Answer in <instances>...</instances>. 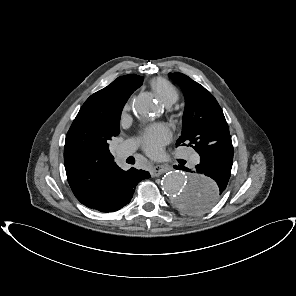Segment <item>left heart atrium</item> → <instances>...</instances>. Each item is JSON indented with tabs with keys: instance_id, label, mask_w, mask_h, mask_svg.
I'll use <instances>...</instances> for the list:
<instances>
[{
	"instance_id": "1",
	"label": "left heart atrium",
	"mask_w": 296,
	"mask_h": 296,
	"mask_svg": "<svg viewBox=\"0 0 296 296\" xmlns=\"http://www.w3.org/2000/svg\"><path fill=\"white\" fill-rule=\"evenodd\" d=\"M171 138L170 129L165 124H153L142 130L140 142L146 153L155 155Z\"/></svg>"
}]
</instances>
